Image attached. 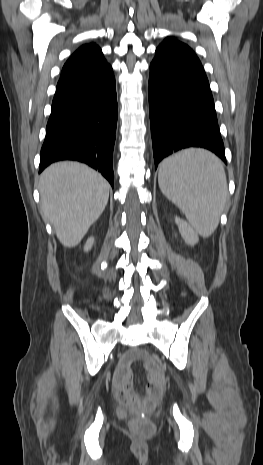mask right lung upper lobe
Returning a JSON list of instances; mask_svg holds the SVG:
<instances>
[{
  "mask_svg": "<svg viewBox=\"0 0 263 465\" xmlns=\"http://www.w3.org/2000/svg\"><path fill=\"white\" fill-rule=\"evenodd\" d=\"M108 66L97 45L94 43L83 45L67 60L60 79L98 72Z\"/></svg>",
  "mask_w": 263,
  "mask_h": 465,
  "instance_id": "obj_1",
  "label": "right lung upper lobe"
}]
</instances>
